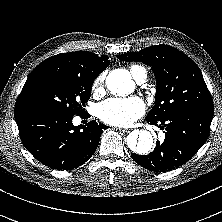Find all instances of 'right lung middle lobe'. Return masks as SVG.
<instances>
[{"instance_id":"right-lung-middle-lobe-1","label":"right lung middle lobe","mask_w":222,"mask_h":222,"mask_svg":"<svg viewBox=\"0 0 222 222\" xmlns=\"http://www.w3.org/2000/svg\"><path fill=\"white\" fill-rule=\"evenodd\" d=\"M94 78L53 75L30 85L16 102L20 107L46 108L68 116L82 115Z\"/></svg>"}]
</instances>
